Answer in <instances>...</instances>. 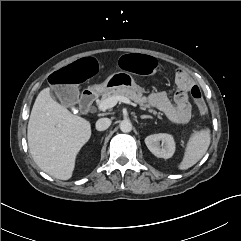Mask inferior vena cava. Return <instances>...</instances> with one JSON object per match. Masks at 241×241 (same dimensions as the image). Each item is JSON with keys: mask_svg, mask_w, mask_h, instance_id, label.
<instances>
[{"mask_svg": "<svg viewBox=\"0 0 241 241\" xmlns=\"http://www.w3.org/2000/svg\"><path fill=\"white\" fill-rule=\"evenodd\" d=\"M111 125V120L109 118H100L96 122V129L98 131H104Z\"/></svg>", "mask_w": 241, "mask_h": 241, "instance_id": "obj_1", "label": "inferior vena cava"}]
</instances>
